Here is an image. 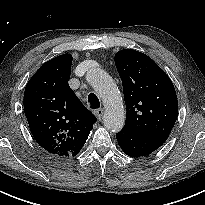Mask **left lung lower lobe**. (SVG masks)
I'll list each match as a JSON object with an SVG mask.
<instances>
[{"instance_id":"left-lung-lower-lobe-1","label":"left lung lower lobe","mask_w":205,"mask_h":205,"mask_svg":"<svg viewBox=\"0 0 205 205\" xmlns=\"http://www.w3.org/2000/svg\"><path fill=\"white\" fill-rule=\"evenodd\" d=\"M116 138L123 152L131 157L149 155L164 143L125 128L116 134Z\"/></svg>"}]
</instances>
